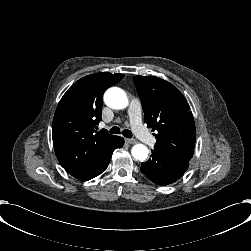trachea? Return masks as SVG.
<instances>
[{"instance_id": "trachea-1", "label": "trachea", "mask_w": 251, "mask_h": 251, "mask_svg": "<svg viewBox=\"0 0 251 251\" xmlns=\"http://www.w3.org/2000/svg\"><path fill=\"white\" fill-rule=\"evenodd\" d=\"M120 131L121 130H120L119 127L114 126L109 130V133L118 134V133H120ZM122 134H123L124 137H127V138H132L133 137L132 132L130 130H128V129L123 130Z\"/></svg>"}]
</instances>
